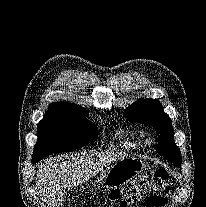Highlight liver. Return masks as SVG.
<instances>
[{"label": "liver", "instance_id": "6515ba94", "mask_svg": "<svg viewBox=\"0 0 206 207\" xmlns=\"http://www.w3.org/2000/svg\"><path fill=\"white\" fill-rule=\"evenodd\" d=\"M119 156L123 155L81 153L62 155L41 162L36 184L42 200L48 207H55L63 200L61 189H70L87 182Z\"/></svg>", "mask_w": 206, "mask_h": 207}]
</instances>
